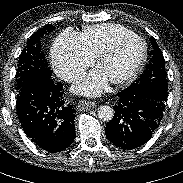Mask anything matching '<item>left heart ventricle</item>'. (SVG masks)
<instances>
[{"label": "left heart ventricle", "mask_w": 183, "mask_h": 183, "mask_svg": "<svg viewBox=\"0 0 183 183\" xmlns=\"http://www.w3.org/2000/svg\"><path fill=\"white\" fill-rule=\"evenodd\" d=\"M141 53L142 45L139 41H128L115 54L102 61L98 68L111 82L128 74L136 65Z\"/></svg>", "instance_id": "1"}]
</instances>
